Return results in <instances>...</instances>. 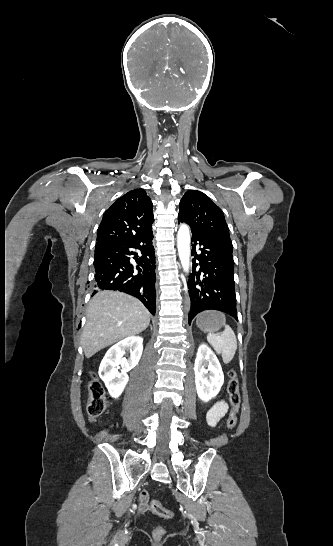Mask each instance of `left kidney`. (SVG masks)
<instances>
[{
    "instance_id": "obj_1",
    "label": "left kidney",
    "mask_w": 333,
    "mask_h": 546,
    "mask_svg": "<svg viewBox=\"0 0 333 546\" xmlns=\"http://www.w3.org/2000/svg\"><path fill=\"white\" fill-rule=\"evenodd\" d=\"M194 372L197 394L207 402L219 393L224 374L216 355L205 343L198 348Z\"/></svg>"
}]
</instances>
